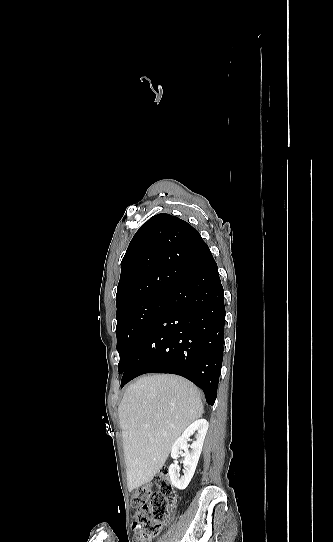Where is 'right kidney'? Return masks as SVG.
<instances>
[{"instance_id": "right-kidney-1", "label": "right kidney", "mask_w": 333, "mask_h": 542, "mask_svg": "<svg viewBox=\"0 0 333 542\" xmlns=\"http://www.w3.org/2000/svg\"><path fill=\"white\" fill-rule=\"evenodd\" d=\"M208 426L209 424L207 420H196V422H193L191 426H188V428H186L182 436H180V438H178V440H176L175 444H173L172 446L171 458H173V460H177V458H180L179 450H184L185 452V454H183L184 460L182 462L185 468L184 476H179L178 472L180 468L179 466H177V464H171L169 468L170 480L173 486H175V488H178V490H185V488L189 486L195 474L196 466L199 462ZM192 434H196L195 442H193L191 446H188L187 442L190 436H192ZM188 448H192V450H188Z\"/></svg>"}]
</instances>
